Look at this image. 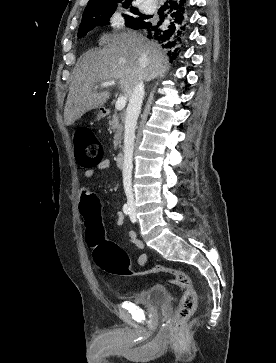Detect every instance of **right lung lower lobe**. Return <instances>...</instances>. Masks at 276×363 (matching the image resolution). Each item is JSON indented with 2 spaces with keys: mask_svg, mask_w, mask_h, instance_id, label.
Wrapping results in <instances>:
<instances>
[{
  "mask_svg": "<svg viewBox=\"0 0 276 363\" xmlns=\"http://www.w3.org/2000/svg\"><path fill=\"white\" fill-rule=\"evenodd\" d=\"M168 10L167 25L159 27L150 22H144L139 28L144 30L148 37L158 41L163 48L169 49V55L175 58L179 46L182 44L188 31V5L187 0H168L165 3Z\"/></svg>",
  "mask_w": 276,
  "mask_h": 363,
  "instance_id": "obj_1",
  "label": "right lung lower lobe"
}]
</instances>
